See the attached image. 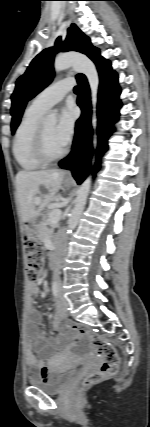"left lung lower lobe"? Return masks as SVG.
I'll use <instances>...</instances> for the list:
<instances>
[{"instance_id": "left-lung-lower-lobe-1", "label": "left lung lower lobe", "mask_w": 150, "mask_h": 427, "mask_svg": "<svg viewBox=\"0 0 150 427\" xmlns=\"http://www.w3.org/2000/svg\"><path fill=\"white\" fill-rule=\"evenodd\" d=\"M95 64L100 78L97 106L99 140L97 154L100 157L108 148L107 139L114 131L112 125L118 119L121 101L119 99L118 76L112 70L111 63L101 57ZM77 80L81 87L77 104L82 109V115L76 122L72 151L67 158L59 162V166L71 170L73 177L78 184H81L90 172V159L93 150L90 124V90L85 76ZM98 167L99 164L97 163L94 172L97 171Z\"/></svg>"}]
</instances>
